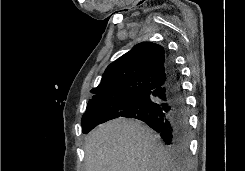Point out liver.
Here are the masks:
<instances>
[{
    "label": "liver",
    "mask_w": 245,
    "mask_h": 171,
    "mask_svg": "<svg viewBox=\"0 0 245 171\" xmlns=\"http://www.w3.org/2000/svg\"><path fill=\"white\" fill-rule=\"evenodd\" d=\"M85 171H178L159 136L138 120L118 118L88 136Z\"/></svg>",
    "instance_id": "1"
}]
</instances>
